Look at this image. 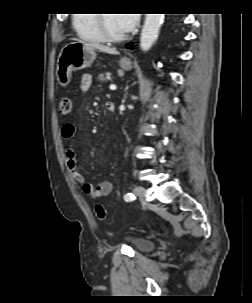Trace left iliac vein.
<instances>
[{"instance_id": "4c4485c4", "label": "left iliac vein", "mask_w": 252, "mask_h": 303, "mask_svg": "<svg viewBox=\"0 0 252 303\" xmlns=\"http://www.w3.org/2000/svg\"><path fill=\"white\" fill-rule=\"evenodd\" d=\"M134 193L141 198L143 204H146V201L144 199L146 191L143 187H136L134 189Z\"/></svg>"}]
</instances>
